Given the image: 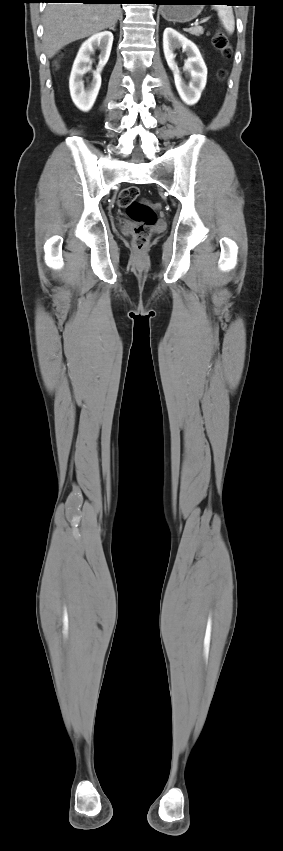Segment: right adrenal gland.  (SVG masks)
Instances as JSON below:
<instances>
[{
    "mask_svg": "<svg viewBox=\"0 0 283 851\" xmlns=\"http://www.w3.org/2000/svg\"><path fill=\"white\" fill-rule=\"evenodd\" d=\"M110 30L115 31V25L110 28Z\"/></svg>",
    "mask_w": 283,
    "mask_h": 851,
    "instance_id": "1",
    "label": "right adrenal gland"
}]
</instances>
